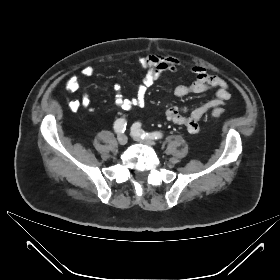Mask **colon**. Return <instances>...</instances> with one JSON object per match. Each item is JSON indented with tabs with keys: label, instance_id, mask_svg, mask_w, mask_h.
Here are the masks:
<instances>
[{
	"label": "colon",
	"instance_id": "1",
	"mask_svg": "<svg viewBox=\"0 0 280 280\" xmlns=\"http://www.w3.org/2000/svg\"><path fill=\"white\" fill-rule=\"evenodd\" d=\"M212 115L214 117H220L223 115V111L221 109H214L212 110Z\"/></svg>",
	"mask_w": 280,
	"mask_h": 280
}]
</instances>
